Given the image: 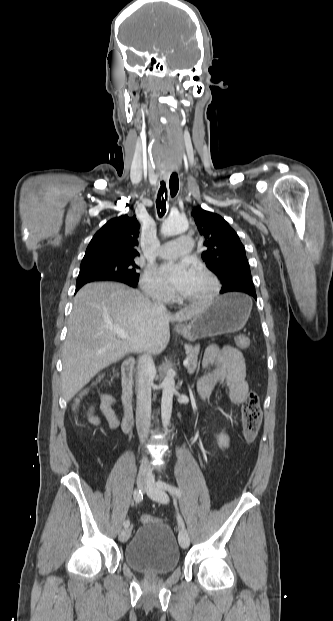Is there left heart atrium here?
<instances>
[{
	"label": "left heart atrium",
	"instance_id": "left-heart-atrium-1",
	"mask_svg": "<svg viewBox=\"0 0 333 621\" xmlns=\"http://www.w3.org/2000/svg\"><path fill=\"white\" fill-rule=\"evenodd\" d=\"M194 270L186 262L169 261L161 265L158 274L163 282L177 292L189 283Z\"/></svg>",
	"mask_w": 333,
	"mask_h": 621
}]
</instances>
